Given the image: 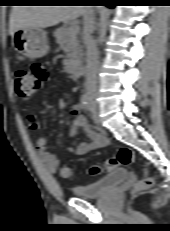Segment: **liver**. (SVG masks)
Instances as JSON below:
<instances>
[{"instance_id":"obj_1","label":"liver","mask_w":170,"mask_h":231,"mask_svg":"<svg viewBox=\"0 0 170 231\" xmlns=\"http://www.w3.org/2000/svg\"><path fill=\"white\" fill-rule=\"evenodd\" d=\"M83 6H14L9 20V34L26 27L47 28L60 21H72L82 15Z\"/></svg>"}]
</instances>
